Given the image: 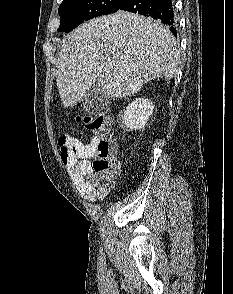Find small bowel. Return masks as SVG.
Segmentation results:
<instances>
[{"label":"small bowel","mask_w":233,"mask_h":294,"mask_svg":"<svg viewBox=\"0 0 233 294\" xmlns=\"http://www.w3.org/2000/svg\"><path fill=\"white\" fill-rule=\"evenodd\" d=\"M58 143L60 150L62 146L67 147V157L62 160L74 176L83 179L82 187L87 198L90 200L104 198L108 193L109 183L100 184L96 182L89 162L93 140L88 144H84L77 138L63 136Z\"/></svg>","instance_id":"obj_1"}]
</instances>
